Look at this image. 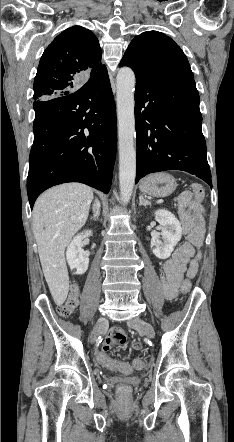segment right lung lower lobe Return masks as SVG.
<instances>
[{"instance_id": "98d812e1", "label": "right lung lower lobe", "mask_w": 234, "mask_h": 442, "mask_svg": "<svg viewBox=\"0 0 234 442\" xmlns=\"http://www.w3.org/2000/svg\"><path fill=\"white\" fill-rule=\"evenodd\" d=\"M34 142L27 193L33 208L46 189L80 182L108 193L116 156V112L108 73L72 94L33 104Z\"/></svg>"}]
</instances>
